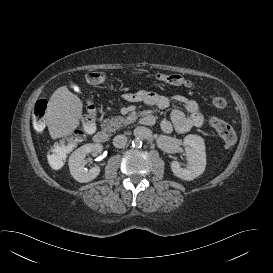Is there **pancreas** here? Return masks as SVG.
<instances>
[{
  "mask_svg": "<svg viewBox=\"0 0 273 273\" xmlns=\"http://www.w3.org/2000/svg\"><path fill=\"white\" fill-rule=\"evenodd\" d=\"M134 118L129 116L127 118H124L122 116H115L108 119H105L103 121V128L107 132H115L123 127V125H128L132 122H134Z\"/></svg>",
  "mask_w": 273,
  "mask_h": 273,
  "instance_id": "cf45deb5",
  "label": "pancreas"
}]
</instances>
